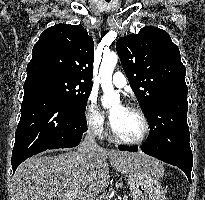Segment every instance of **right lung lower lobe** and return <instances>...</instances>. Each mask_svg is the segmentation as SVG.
Segmentation results:
<instances>
[{
	"mask_svg": "<svg viewBox=\"0 0 205 200\" xmlns=\"http://www.w3.org/2000/svg\"><path fill=\"white\" fill-rule=\"evenodd\" d=\"M86 130L84 112L47 88L25 87L12 151L13 173L21 162L46 149L77 146Z\"/></svg>",
	"mask_w": 205,
	"mask_h": 200,
	"instance_id": "obj_1",
	"label": "right lung lower lobe"
}]
</instances>
